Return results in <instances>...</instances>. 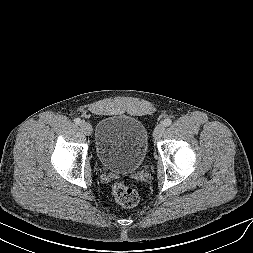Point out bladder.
<instances>
[{
    "label": "bladder",
    "instance_id": "obj_1",
    "mask_svg": "<svg viewBox=\"0 0 253 253\" xmlns=\"http://www.w3.org/2000/svg\"><path fill=\"white\" fill-rule=\"evenodd\" d=\"M148 143L147 129L139 119L109 115L97 124L94 150L97 161L105 169L131 173L143 164Z\"/></svg>",
    "mask_w": 253,
    "mask_h": 253
}]
</instances>
